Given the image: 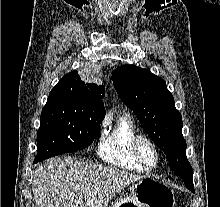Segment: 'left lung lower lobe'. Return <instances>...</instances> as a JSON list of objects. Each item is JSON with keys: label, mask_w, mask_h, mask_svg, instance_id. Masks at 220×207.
<instances>
[{"label": "left lung lower lobe", "mask_w": 220, "mask_h": 207, "mask_svg": "<svg viewBox=\"0 0 220 207\" xmlns=\"http://www.w3.org/2000/svg\"><path fill=\"white\" fill-rule=\"evenodd\" d=\"M168 166L183 178V181L186 187L194 193L195 190H194L193 180H192L193 171H192V167L190 163L188 161H186L185 163H180V164L169 163Z\"/></svg>", "instance_id": "left-lung-lower-lobe-1"}]
</instances>
